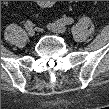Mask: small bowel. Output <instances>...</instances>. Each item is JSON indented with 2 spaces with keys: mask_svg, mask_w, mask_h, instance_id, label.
<instances>
[{
  "mask_svg": "<svg viewBox=\"0 0 109 109\" xmlns=\"http://www.w3.org/2000/svg\"><path fill=\"white\" fill-rule=\"evenodd\" d=\"M53 4H54L53 1H38V5L41 8H50L53 6Z\"/></svg>",
  "mask_w": 109,
  "mask_h": 109,
  "instance_id": "small-bowel-1",
  "label": "small bowel"
}]
</instances>
